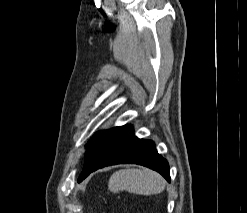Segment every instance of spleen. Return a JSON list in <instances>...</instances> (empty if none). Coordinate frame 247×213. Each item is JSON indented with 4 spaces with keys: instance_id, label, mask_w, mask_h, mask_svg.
<instances>
[{
    "instance_id": "3e777b00",
    "label": "spleen",
    "mask_w": 247,
    "mask_h": 213,
    "mask_svg": "<svg viewBox=\"0 0 247 213\" xmlns=\"http://www.w3.org/2000/svg\"><path fill=\"white\" fill-rule=\"evenodd\" d=\"M108 189L111 192L128 191L139 195H153L165 189L163 177L149 169H124L112 174Z\"/></svg>"
}]
</instances>
